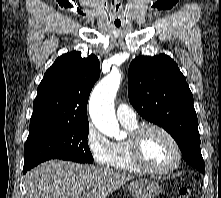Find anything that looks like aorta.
<instances>
[{
	"label": "aorta",
	"mask_w": 221,
	"mask_h": 198,
	"mask_svg": "<svg viewBox=\"0 0 221 198\" xmlns=\"http://www.w3.org/2000/svg\"><path fill=\"white\" fill-rule=\"evenodd\" d=\"M120 83L121 73L112 70L96 85L89 101V114L93 124L104 135L116 139L125 134L120 130L114 111V99Z\"/></svg>",
	"instance_id": "aorta-1"
}]
</instances>
